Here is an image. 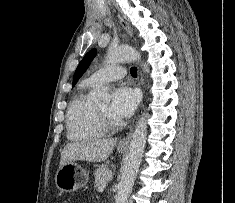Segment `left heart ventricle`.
Returning <instances> with one entry per match:
<instances>
[{
  "label": "left heart ventricle",
  "instance_id": "obj_1",
  "mask_svg": "<svg viewBox=\"0 0 235 203\" xmlns=\"http://www.w3.org/2000/svg\"><path fill=\"white\" fill-rule=\"evenodd\" d=\"M99 108H100L102 111H104V112H106V113L108 114V108H109L108 103L99 105Z\"/></svg>",
  "mask_w": 235,
  "mask_h": 203
}]
</instances>
